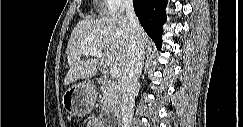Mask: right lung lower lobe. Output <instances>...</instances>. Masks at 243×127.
Instances as JSON below:
<instances>
[{
  "instance_id": "98d812e1",
  "label": "right lung lower lobe",
  "mask_w": 243,
  "mask_h": 127,
  "mask_svg": "<svg viewBox=\"0 0 243 127\" xmlns=\"http://www.w3.org/2000/svg\"><path fill=\"white\" fill-rule=\"evenodd\" d=\"M136 15L157 48L162 44V25L166 22L168 0H133Z\"/></svg>"
}]
</instances>
